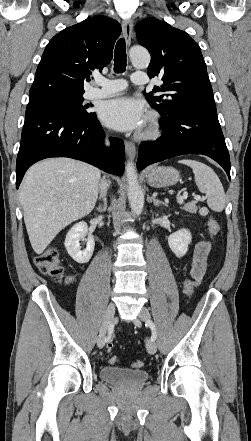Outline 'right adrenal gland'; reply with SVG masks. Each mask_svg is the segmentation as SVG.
<instances>
[{"mask_svg": "<svg viewBox=\"0 0 251 441\" xmlns=\"http://www.w3.org/2000/svg\"><path fill=\"white\" fill-rule=\"evenodd\" d=\"M103 201H104L103 206L100 205V206H98V207L96 208V210H97L99 213L105 212L106 209H107V200H106L105 197H104Z\"/></svg>", "mask_w": 251, "mask_h": 441, "instance_id": "obj_1", "label": "right adrenal gland"}]
</instances>
